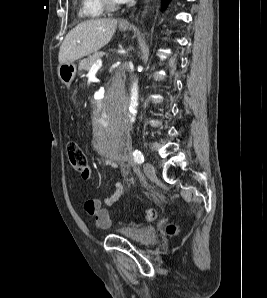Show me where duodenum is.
I'll use <instances>...</instances> for the list:
<instances>
[{
  "mask_svg": "<svg viewBox=\"0 0 267 298\" xmlns=\"http://www.w3.org/2000/svg\"><path fill=\"white\" fill-rule=\"evenodd\" d=\"M92 103L90 104V115H100L103 112V105H107V100L105 98H92Z\"/></svg>",
  "mask_w": 267,
  "mask_h": 298,
  "instance_id": "1",
  "label": "duodenum"
}]
</instances>
